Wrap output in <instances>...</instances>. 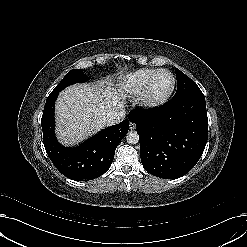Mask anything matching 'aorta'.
<instances>
[{
    "label": "aorta",
    "mask_w": 247,
    "mask_h": 247,
    "mask_svg": "<svg viewBox=\"0 0 247 247\" xmlns=\"http://www.w3.org/2000/svg\"><path fill=\"white\" fill-rule=\"evenodd\" d=\"M126 140L129 144H137L139 142V135L136 131H129L126 135Z\"/></svg>",
    "instance_id": "1"
}]
</instances>
